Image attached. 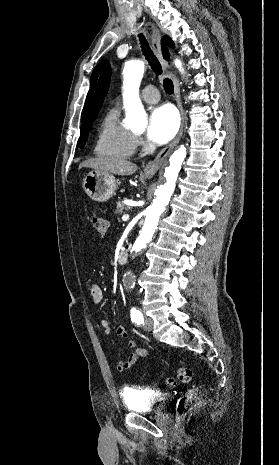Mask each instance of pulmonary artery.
<instances>
[{
	"instance_id": "pulmonary-artery-1",
	"label": "pulmonary artery",
	"mask_w": 279,
	"mask_h": 465,
	"mask_svg": "<svg viewBox=\"0 0 279 465\" xmlns=\"http://www.w3.org/2000/svg\"><path fill=\"white\" fill-rule=\"evenodd\" d=\"M142 99L147 103H156L159 100V92L156 87L149 85L142 91Z\"/></svg>"
}]
</instances>
